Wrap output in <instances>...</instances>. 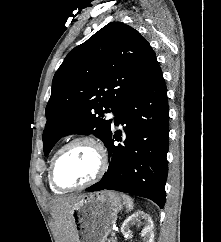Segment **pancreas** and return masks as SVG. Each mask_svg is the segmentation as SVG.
Instances as JSON below:
<instances>
[{
	"mask_svg": "<svg viewBox=\"0 0 221 242\" xmlns=\"http://www.w3.org/2000/svg\"><path fill=\"white\" fill-rule=\"evenodd\" d=\"M108 242H116V237H112Z\"/></svg>",
	"mask_w": 221,
	"mask_h": 242,
	"instance_id": "pancreas-1",
	"label": "pancreas"
}]
</instances>
